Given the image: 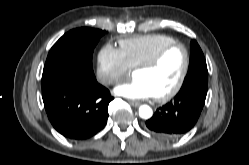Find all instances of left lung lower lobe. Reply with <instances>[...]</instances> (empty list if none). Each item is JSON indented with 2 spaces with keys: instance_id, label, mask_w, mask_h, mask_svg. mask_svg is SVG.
Wrapping results in <instances>:
<instances>
[{
  "instance_id": "0a47b994",
  "label": "left lung lower lobe",
  "mask_w": 249,
  "mask_h": 165,
  "mask_svg": "<svg viewBox=\"0 0 249 165\" xmlns=\"http://www.w3.org/2000/svg\"><path fill=\"white\" fill-rule=\"evenodd\" d=\"M208 81L194 80L182 86L173 100L157 109L147 128L162 139H175L196 124L207 95Z\"/></svg>"
}]
</instances>
